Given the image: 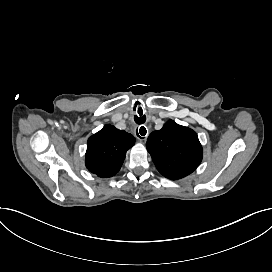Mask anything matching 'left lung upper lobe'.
Wrapping results in <instances>:
<instances>
[{"label": "left lung upper lobe", "instance_id": "obj_1", "mask_svg": "<svg viewBox=\"0 0 272 272\" xmlns=\"http://www.w3.org/2000/svg\"><path fill=\"white\" fill-rule=\"evenodd\" d=\"M146 148L158 171L171 180L191 174L203 156L196 132L173 120L149 135Z\"/></svg>", "mask_w": 272, "mask_h": 272}]
</instances>
